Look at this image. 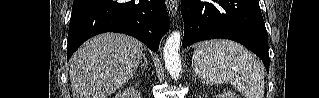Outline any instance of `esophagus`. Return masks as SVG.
<instances>
[{
  "label": "esophagus",
  "instance_id": "obj_1",
  "mask_svg": "<svg viewBox=\"0 0 319 98\" xmlns=\"http://www.w3.org/2000/svg\"><path fill=\"white\" fill-rule=\"evenodd\" d=\"M166 6L167 10L169 12V15L174 17L177 14L178 11V3L175 0H166Z\"/></svg>",
  "mask_w": 319,
  "mask_h": 98
}]
</instances>
